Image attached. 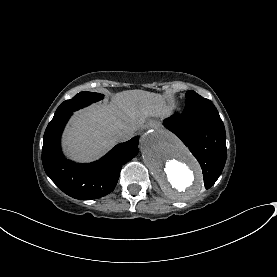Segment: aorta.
<instances>
[{"label": "aorta", "mask_w": 277, "mask_h": 277, "mask_svg": "<svg viewBox=\"0 0 277 277\" xmlns=\"http://www.w3.org/2000/svg\"><path fill=\"white\" fill-rule=\"evenodd\" d=\"M140 147L145 164L168 197L188 201L201 193L204 187L201 168L173 134L154 129L142 136Z\"/></svg>", "instance_id": "1"}]
</instances>
